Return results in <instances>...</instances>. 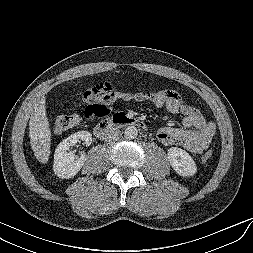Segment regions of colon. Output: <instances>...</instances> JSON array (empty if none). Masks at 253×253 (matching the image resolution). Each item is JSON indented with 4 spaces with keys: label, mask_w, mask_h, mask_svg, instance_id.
<instances>
[{
    "label": "colon",
    "mask_w": 253,
    "mask_h": 253,
    "mask_svg": "<svg viewBox=\"0 0 253 253\" xmlns=\"http://www.w3.org/2000/svg\"><path fill=\"white\" fill-rule=\"evenodd\" d=\"M147 94L141 93L138 94L136 97L141 98L145 97ZM125 99L131 98L130 95H125ZM111 99V96L107 92H98L97 93V100L94 104L90 105L86 110L87 117H100L108 114L110 112L109 108L107 107V103ZM79 121V116L77 114H59L56 116L54 123H53V131L56 134L65 132L67 130L72 129ZM213 157L212 151H207L203 156L202 160L204 162L209 161Z\"/></svg>",
    "instance_id": "obj_1"
}]
</instances>
